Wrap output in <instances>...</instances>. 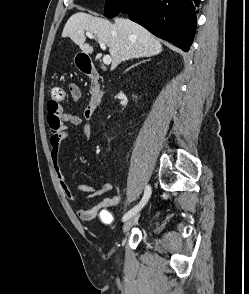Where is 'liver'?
I'll return each instance as SVG.
<instances>
[{
	"label": "liver",
	"instance_id": "1",
	"mask_svg": "<svg viewBox=\"0 0 249 294\" xmlns=\"http://www.w3.org/2000/svg\"><path fill=\"white\" fill-rule=\"evenodd\" d=\"M85 31L94 34L109 47L111 70L123 61L155 56L162 51V45L154 35L131 20L116 18L112 24L84 12H78L68 19L62 37H70L84 53L89 54L94 49L85 43Z\"/></svg>",
	"mask_w": 249,
	"mask_h": 294
}]
</instances>
